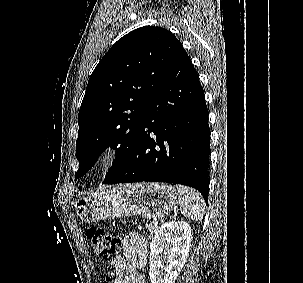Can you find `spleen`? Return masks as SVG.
<instances>
[{
    "label": "spleen",
    "instance_id": "3e777b00",
    "mask_svg": "<svg viewBox=\"0 0 303 283\" xmlns=\"http://www.w3.org/2000/svg\"><path fill=\"white\" fill-rule=\"evenodd\" d=\"M178 204L181 214L188 219L200 222L204 215V200L196 190L177 185Z\"/></svg>",
    "mask_w": 303,
    "mask_h": 283
}]
</instances>
